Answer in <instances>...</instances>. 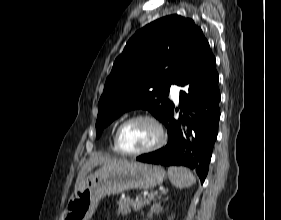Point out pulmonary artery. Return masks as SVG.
Segmentation results:
<instances>
[{
	"mask_svg": "<svg viewBox=\"0 0 281 220\" xmlns=\"http://www.w3.org/2000/svg\"><path fill=\"white\" fill-rule=\"evenodd\" d=\"M171 98L178 103L179 101V88L173 85L170 89Z\"/></svg>",
	"mask_w": 281,
	"mask_h": 220,
	"instance_id": "obj_1",
	"label": "pulmonary artery"
}]
</instances>
